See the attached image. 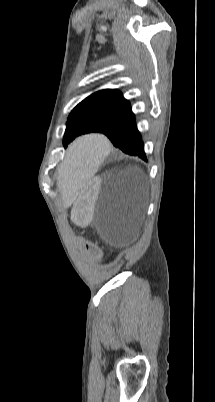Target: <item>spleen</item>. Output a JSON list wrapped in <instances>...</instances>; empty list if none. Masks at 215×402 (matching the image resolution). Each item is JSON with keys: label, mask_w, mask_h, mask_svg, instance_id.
I'll use <instances>...</instances> for the list:
<instances>
[{"label": "spleen", "mask_w": 215, "mask_h": 402, "mask_svg": "<svg viewBox=\"0 0 215 402\" xmlns=\"http://www.w3.org/2000/svg\"><path fill=\"white\" fill-rule=\"evenodd\" d=\"M108 153L105 133H76V143L66 169H55L54 177L60 178L57 195H62L66 204L71 203L73 194L83 189L84 182H94L98 166Z\"/></svg>", "instance_id": "3e777b00"}]
</instances>
